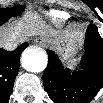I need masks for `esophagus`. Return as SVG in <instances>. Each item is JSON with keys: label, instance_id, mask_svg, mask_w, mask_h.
<instances>
[{"label": "esophagus", "instance_id": "esophagus-1", "mask_svg": "<svg viewBox=\"0 0 103 103\" xmlns=\"http://www.w3.org/2000/svg\"><path fill=\"white\" fill-rule=\"evenodd\" d=\"M35 44L38 45V46H47L48 42L45 38L43 37H39L35 40Z\"/></svg>", "mask_w": 103, "mask_h": 103}]
</instances>
